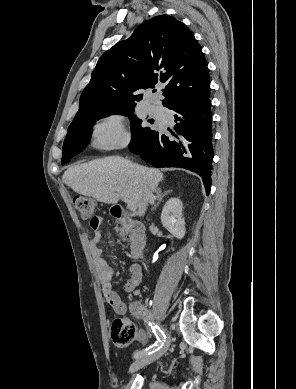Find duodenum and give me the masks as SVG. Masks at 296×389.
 <instances>
[{
    "mask_svg": "<svg viewBox=\"0 0 296 389\" xmlns=\"http://www.w3.org/2000/svg\"><path fill=\"white\" fill-rule=\"evenodd\" d=\"M113 217L123 225L128 233V238L131 243V255L138 259L142 257L145 250V228L141 223L132 219L127 212L119 205L112 207Z\"/></svg>",
    "mask_w": 296,
    "mask_h": 389,
    "instance_id": "410a0bca",
    "label": "duodenum"
}]
</instances>
